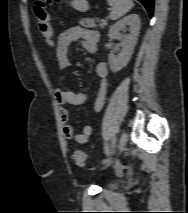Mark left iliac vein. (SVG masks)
Here are the masks:
<instances>
[{"mask_svg":"<svg viewBox=\"0 0 188 213\" xmlns=\"http://www.w3.org/2000/svg\"><path fill=\"white\" fill-rule=\"evenodd\" d=\"M127 140H128L127 134L126 133H122L120 138H119V143H118L119 152L123 151V149L126 146Z\"/></svg>","mask_w":188,"mask_h":213,"instance_id":"left-iliac-vein-1","label":"left iliac vein"}]
</instances>
